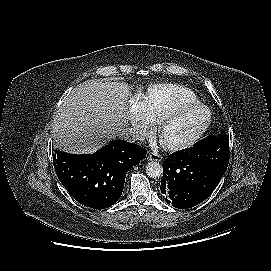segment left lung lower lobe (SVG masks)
Here are the masks:
<instances>
[{
    "label": "left lung lower lobe",
    "instance_id": "1",
    "mask_svg": "<svg viewBox=\"0 0 271 271\" xmlns=\"http://www.w3.org/2000/svg\"><path fill=\"white\" fill-rule=\"evenodd\" d=\"M218 136L205 138L214 139ZM160 190L165 201L186 209L204 201L217 187L224 172L177 151L163 163Z\"/></svg>",
    "mask_w": 271,
    "mask_h": 271
}]
</instances>
